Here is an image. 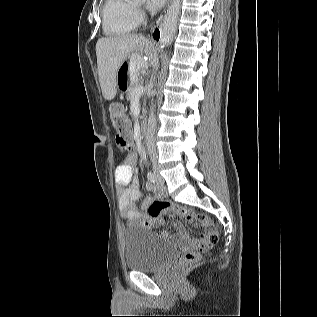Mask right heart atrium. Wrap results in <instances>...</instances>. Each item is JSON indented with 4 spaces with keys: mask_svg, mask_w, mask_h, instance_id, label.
<instances>
[{
    "mask_svg": "<svg viewBox=\"0 0 317 317\" xmlns=\"http://www.w3.org/2000/svg\"><path fill=\"white\" fill-rule=\"evenodd\" d=\"M136 15H137V18L139 20V22L143 19L144 17V12L141 8H136Z\"/></svg>",
    "mask_w": 317,
    "mask_h": 317,
    "instance_id": "1",
    "label": "right heart atrium"
}]
</instances>
